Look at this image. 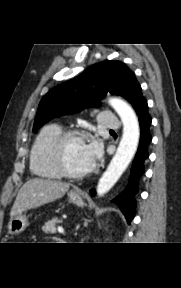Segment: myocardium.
<instances>
[{"label": "myocardium", "mask_w": 181, "mask_h": 288, "mask_svg": "<svg viewBox=\"0 0 181 288\" xmlns=\"http://www.w3.org/2000/svg\"><path fill=\"white\" fill-rule=\"evenodd\" d=\"M87 136L85 131L67 130L63 131L55 140L52 149V157L56 169L62 176L79 179L89 175L94 170V165H91L85 171L76 172L71 170L65 161V148L67 143L74 139H85Z\"/></svg>", "instance_id": "f54148a6"}]
</instances>
